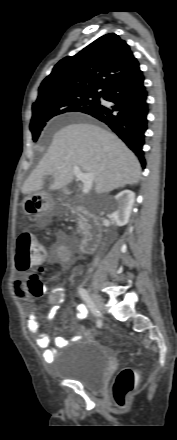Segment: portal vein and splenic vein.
I'll return each mask as SVG.
<instances>
[{
    "label": "portal vein and splenic vein",
    "mask_w": 177,
    "mask_h": 440,
    "mask_svg": "<svg viewBox=\"0 0 177 440\" xmlns=\"http://www.w3.org/2000/svg\"><path fill=\"white\" fill-rule=\"evenodd\" d=\"M74 175L78 180L83 183L82 192L84 194L89 193L92 188L94 174L93 173H83L78 166L73 167Z\"/></svg>",
    "instance_id": "obj_1"
}]
</instances>
